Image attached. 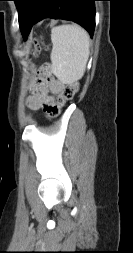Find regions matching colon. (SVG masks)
<instances>
[{"instance_id":"1","label":"colon","mask_w":133,"mask_h":253,"mask_svg":"<svg viewBox=\"0 0 133 253\" xmlns=\"http://www.w3.org/2000/svg\"><path fill=\"white\" fill-rule=\"evenodd\" d=\"M78 90L79 85L77 82H72L66 85L63 93L58 99L56 107L53 108L54 113H57L60 107H62L67 101L71 100L74 97V95L78 92Z\"/></svg>"}]
</instances>
